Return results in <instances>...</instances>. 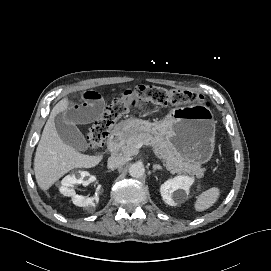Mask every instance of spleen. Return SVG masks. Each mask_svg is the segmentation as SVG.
<instances>
[{
    "mask_svg": "<svg viewBox=\"0 0 271 271\" xmlns=\"http://www.w3.org/2000/svg\"><path fill=\"white\" fill-rule=\"evenodd\" d=\"M220 195V189L218 187H212L200 195L197 196V199L194 204V209L196 212H202L214 205L218 200Z\"/></svg>",
    "mask_w": 271,
    "mask_h": 271,
    "instance_id": "1",
    "label": "spleen"
}]
</instances>
